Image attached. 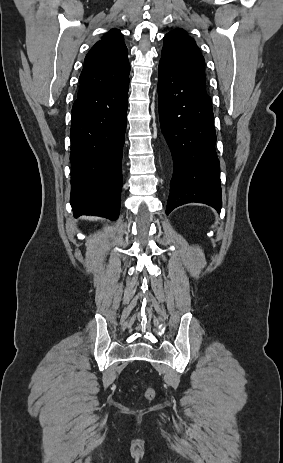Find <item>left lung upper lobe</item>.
<instances>
[{"label": "left lung upper lobe", "instance_id": "1", "mask_svg": "<svg viewBox=\"0 0 283 463\" xmlns=\"http://www.w3.org/2000/svg\"><path fill=\"white\" fill-rule=\"evenodd\" d=\"M182 78L199 89L205 88V61L195 41L182 29H175L164 36L161 60Z\"/></svg>", "mask_w": 283, "mask_h": 463}]
</instances>
